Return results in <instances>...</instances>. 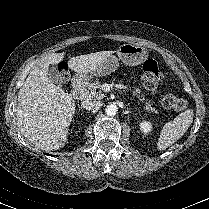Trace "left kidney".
Segmentation results:
<instances>
[{
    "label": "left kidney",
    "instance_id": "left-kidney-1",
    "mask_svg": "<svg viewBox=\"0 0 209 209\" xmlns=\"http://www.w3.org/2000/svg\"><path fill=\"white\" fill-rule=\"evenodd\" d=\"M139 126H140V130L144 134H148L149 132L152 131L153 128L151 122L149 121H142Z\"/></svg>",
    "mask_w": 209,
    "mask_h": 209
}]
</instances>
